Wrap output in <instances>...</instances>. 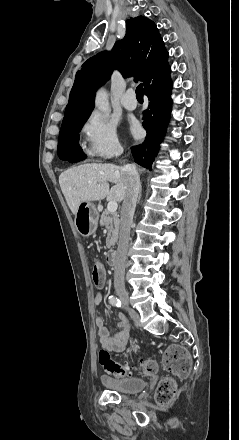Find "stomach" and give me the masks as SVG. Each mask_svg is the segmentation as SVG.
<instances>
[{"mask_svg": "<svg viewBox=\"0 0 239 440\" xmlns=\"http://www.w3.org/2000/svg\"><path fill=\"white\" fill-rule=\"evenodd\" d=\"M99 212L93 202H81L75 214V228L81 236L88 238L97 230Z\"/></svg>", "mask_w": 239, "mask_h": 440, "instance_id": "stomach-1", "label": "stomach"}]
</instances>
